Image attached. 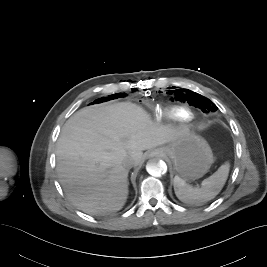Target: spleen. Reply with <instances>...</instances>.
Masks as SVG:
<instances>
[{"label":"spleen","mask_w":267,"mask_h":267,"mask_svg":"<svg viewBox=\"0 0 267 267\" xmlns=\"http://www.w3.org/2000/svg\"><path fill=\"white\" fill-rule=\"evenodd\" d=\"M229 174V164L221 165L218 170L204 179L201 187H192L179 176L174 177V191L179 200L185 203L202 204L213 199L222 190Z\"/></svg>","instance_id":"obj_1"}]
</instances>
